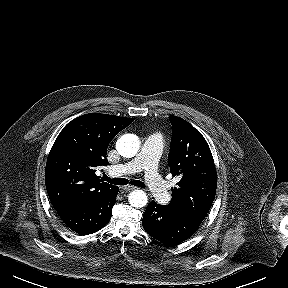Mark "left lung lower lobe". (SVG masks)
I'll return each instance as SVG.
<instances>
[{
    "instance_id": "obj_1",
    "label": "left lung lower lobe",
    "mask_w": 288,
    "mask_h": 288,
    "mask_svg": "<svg viewBox=\"0 0 288 288\" xmlns=\"http://www.w3.org/2000/svg\"><path fill=\"white\" fill-rule=\"evenodd\" d=\"M200 223L165 205L157 204L154 200L148 204L142 220L144 230L168 246H174L191 237Z\"/></svg>"
}]
</instances>
